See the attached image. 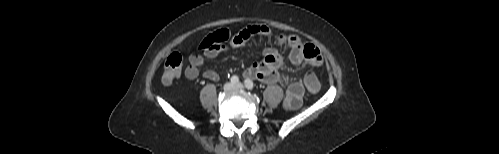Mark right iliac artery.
<instances>
[{
  "mask_svg": "<svg viewBox=\"0 0 499 154\" xmlns=\"http://www.w3.org/2000/svg\"><path fill=\"white\" fill-rule=\"evenodd\" d=\"M231 82H232L233 84L238 83V82H239V78H238V76H235V75H234V76H232V77H231Z\"/></svg>",
  "mask_w": 499,
  "mask_h": 154,
  "instance_id": "right-iliac-artery-1",
  "label": "right iliac artery"
}]
</instances>
